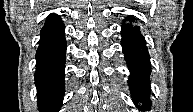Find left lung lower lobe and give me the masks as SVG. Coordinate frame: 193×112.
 Instances as JSON below:
<instances>
[{"mask_svg":"<svg viewBox=\"0 0 193 112\" xmlns=\"http://www.w3.org/2000/svg\"><path fill=\"white\" fill-rule=\"evenodd\" d=\"M126 20L132 23L135 19L128 16ZM121 36L122 50L130 71L128 83L132 92V100L139 110L148 111L151 107L149 99L151 93L149 82L151 64L146 41L140 32V28L132 24L122 26ZM138 103H142V105L139 106Z\"/></svg>","mask_w":193,"mask_h":112,"instance_id":"1","label":"left lung lower lobe"}]
</instances>
